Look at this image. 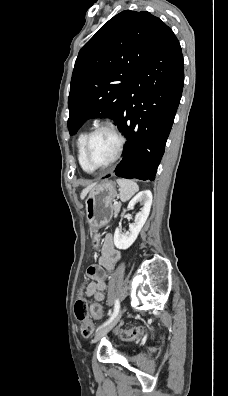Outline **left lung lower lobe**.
<instances>
[{"instance_id":"1","label":"left lung lower lobe","mask_w":228,"mask_h":396,"mask_svg":"<svg viewBox=\"0 0 228 396\" xmlns=\"http://www.w3.org/2000/svg\"><path fill=\"white\" fill-rule=\"evenodd\" d=\"M183 83L180 44L173 31L168 26L163 27L133 79L120 110L117 125L127 143L115 175L129 179H155L181 99Z\"/></svg>"}]
</instances>
